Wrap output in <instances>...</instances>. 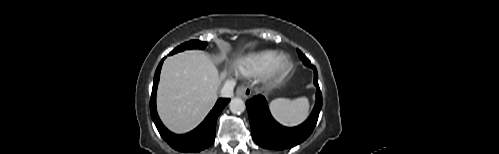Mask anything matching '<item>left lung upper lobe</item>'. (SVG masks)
Returning a JSON list of instances; mask_svg holds the SVG:
<instances>
[{
	"label": "left lung upper lobe",
	"mask_w": 499,
	"mask_h": 154,
	"mask_svg": "<svg viewBox=\"0 0 499 154\" xmlns=\"http://www.w3.org/2000/svg\"><path fill=\"white\" fill-rule=\"evenodd\" d=\"M297 52L300 59H302L303 63L310 64V60L300 50H298Z\"/></svg>",
	"instance_id": "obj_1"
}]
</instances>
